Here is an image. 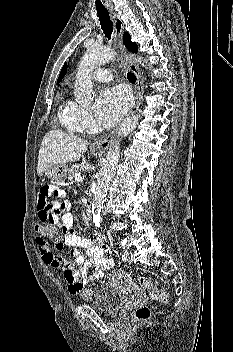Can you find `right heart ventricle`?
<instances>
[{
	"label": "right heart ventricle",
	"instance_id": "e07e8e85",
	"mask_svg": "<svg viewBox=\"0 0 233 352\" xmlns=\"http://www.w3.org/2000/svg\"><path fill=\"white\" fill-rule=\"evenodd\" d=\"M58 118L63 128L68 132H81L77 120V110L75 103L70 101L64 102L58 113Z\"/></svg>",
	"mask_w": 233,
	"mask_h": 352
}]
</instances>
